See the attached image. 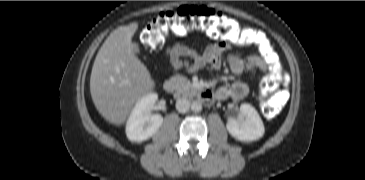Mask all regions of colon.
Instances as JSON below:
<instances>
[{"label":"colon","instance_id":"1","mask_svg":"<svg viewBox=\"0 0 365 180\" xmlns=\"http://www.w3.org/2000/svg\"><path fill=\"white\" fill-rule=\"evenodd\" d=\"M200 29L221 43L241 46L258 43L250 31L234 26L218 11L204 6H183L176 10L164 11L153 18L141 32V41L150 48H160L170 36H183L192 30ZM272 52L265 57L272 60ZM284 81V73L277 63L261 83V94L268 98L267 114L276 115L283 106L279 92Z\"/></svg>","mask_w":365,"mask_h":180}]
</instances>
